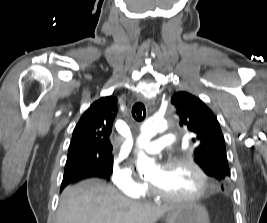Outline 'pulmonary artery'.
<instances>
[{"label": "pulmonary artery", "instance_id": "1", "mask_svg": "<svg viewBox=\"0 0 267 223\" xmlns=\"http://www.w3.org/2000/svg\"><path fill=\"white\" fill-rule=\"evenodd\" d=\"M174 136L171 134H162L158 137L156 142L145 145L143 147L144 151L149 153V154H155L160 152L164 147L167 145L173 144L174 143Z\"/></svg>", "mask_w": 267, "mask_h": 223}]
</instances>
